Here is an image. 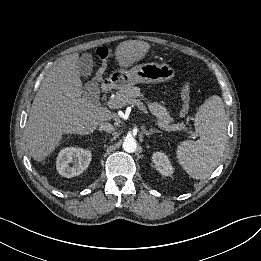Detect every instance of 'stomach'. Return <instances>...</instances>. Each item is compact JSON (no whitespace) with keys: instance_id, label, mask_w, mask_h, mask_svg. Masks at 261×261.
Masks as SVG:
<instances>
[{"instance_id":"0dacf381","label":"stomach","mask_w":261,"mask_h":261,"mask_svg":"<svg viewBox=\"0 0 261 261\" xmlns=\"http://www.w3.org/2000/svg\"><path fill=\"white\" fill-rule=\"evenodd\" d=\"M175 76V70L170 65L145 63L137 64L130 70H115L110 81L117 86H132L138 83L157 84L171 80Z\"/></svg>"}]
</instances>
